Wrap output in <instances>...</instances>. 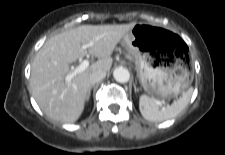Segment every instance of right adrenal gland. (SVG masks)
I'll use <instances>...</instances> for the list:
<instances>
[{"mask_svg": "<svg viewBox=\"0 0 225 155\" xmlns=\"http://www.w3.org/2000/svg\"><path fill=\"white\" fill-rule=\"evenodd\" d=\"M94 87V85H91L88 91V95H87V100H89L90 98V94H91V89Z\"/></svg>", "mask_w": 225, "mask_h": 155, "instance_id": "obj_1", "label": "right adrenal gland"}]
</instances>
